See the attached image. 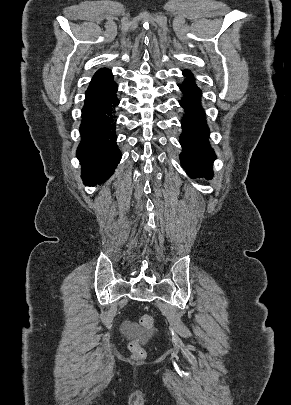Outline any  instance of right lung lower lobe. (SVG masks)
<instances>
[{"label":"right lung lower lobe","mask_w":291,"mask_h":405,"mask_svg":"<svg viewBox=\"0 0 291 405\" xmlns=\"http://www.w3.org/2000/svg\"><path fill=\"white\" fill-rule=\"evenodd\" d=\"M117 85L111 73L92 79L85 92L77 148L81 177L86 186L104 183L121 160L116 144L115 108L119 104Z\"/></svg>","instance_id":"98d812e1"}]
</instances>
